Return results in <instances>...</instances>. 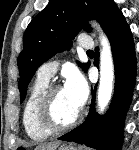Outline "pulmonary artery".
<instances>
[{"label": "pulmonary artery", "mask_w": 139, "mask_h": 150, "mask_svg": "<svg viewBox=\"0 0 139 150\" xmlns=\"http://www.w3.org/2000/svg\"><path fill=\"white\" fill-rule=\"evenodd\" d=\"M79 46L84 50H92L94 47V42L90 37L84 36L79 39ZM56 70V62H47L40 66L37 75L38 77L50 80L51 77H53V75L55 74Z\"/></svg>", "instance_id": "obj_1"}]
</instances>
